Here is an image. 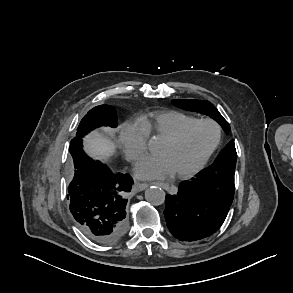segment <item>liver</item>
Returning <instances> with one entry per match:
<instances>
[{
	"label": "liver",
	"mask_w": 293,
	"mask_h": 293,
	"mask_svg": "<svg viewBox=\"0 0 293 293\" xmlns=\"http://www.w3.org/2000/svg\"><path fill=\"white\" fill-rule=\"evenodd\" d=\"M84 149L92 158L105 160L114 153L115 144L103 133L93 131L84 138Z\"/></svg>",
	"instance_id": "6515ba94"
}]
</instances>
